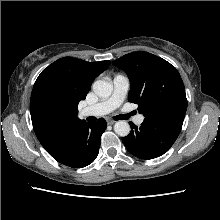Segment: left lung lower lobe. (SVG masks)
Here are the masks:
<instances>
[{
    "label": "left lung lower lobe",
    "mask_w": 220,
    "mask_h": 220,
    "mask_svg": "<svg viewBox=\"0 0 220 220\" xmlns=\"http://www.w3.org/2000/svg\"><path fill=\"white\" fill-rule=\"evenodd\" d=\"M183 115L145 117L140 127L130 123L131 132L122 138L127 150L135 157L153 159L167 152L180 134Z\"/></svg>",
    "instance_id": "1"
}]
</instances>
